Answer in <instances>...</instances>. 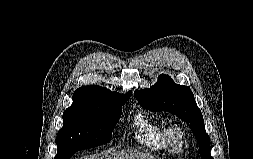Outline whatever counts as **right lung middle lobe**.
<instances>
[{
  "label": "right lung middle lobe",
  "mask_w": 253,
  "mask_h": 159,
  "mask_svg": "<svg viewBox=\"0 0 253 159\" xmlns=\"http://www.w3.org/2000/svg\"><path fill=\"white\" fill-rule=\"evenodd\" d=\"M127 100L73 102L63 113L64 124L57 134L54 159H69L81 149L109 142Z\"/></svg>",
  "instance_id": "dd1d6c3e"
}]
</instances>
